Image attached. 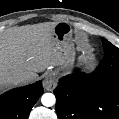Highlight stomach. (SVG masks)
<instances>
[{"instance_id": "0dacf381", "label": "stomach", "mask_w": 119, "mask_h": 119, "mask_svg": "<svg viewBox=\"0 0 119 119\" xmlns=\"http://www.w3.org/2000/svg\"><path fill=\"white\" fill-rule=\"evenodd\" d=\"M72 28L66 22H58L53 28V39L55 40L59 59L55 65H60L66 70H71L74 65L75 51L71 42Z\"/></svg>"}]
</instances>
